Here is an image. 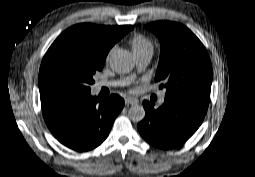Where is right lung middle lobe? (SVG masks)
<instances>
[{
	"label": "right lung middle lobe",
	"instance_id": "dd1d6c3e",
	"mask_svg": "<svg viewBox=\"0 0 255 177\" xmlns=\"http://www.w3.org/2000/svg\"><path fill=\"white\" fill-rule=\"evenodd\" d=\"M133 29L128 25L125 33ZM106 55L75 39L57 38L45 54L39 71L40 97L90 91L93 74L102 70Z\"/></svg>",
	"mask_w": 255,
	"mask_h": 177
}]
</instances>
